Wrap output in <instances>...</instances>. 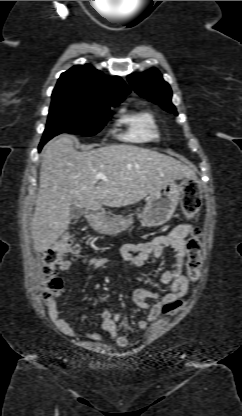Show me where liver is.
Segmentation results:
<instances>
[{"mask_svg": "<svg viewBox=\"0 0 242 416\" xmlns=\"http://www.w3.org/2000/svg\"><path fill=\"white\" fill-rule=\"evenodd\" d=\"M75 141L65 135L44 147L32 220L36 252L47 251L68 229L71 205L91 210L132 205L171 180L195 177L187 165L153 150L120 144L77 151ZM98 173L107 180L97 182Z\"/></svg>", "mask_w": 242, "mask_h": 416, "instance_id": "obj_1", "label": "liver"}]
</instances>
